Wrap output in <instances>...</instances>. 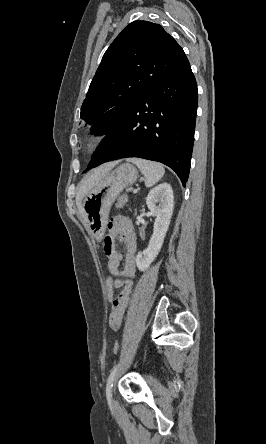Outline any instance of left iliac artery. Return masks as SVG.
I'll use <instances>...</instances> for the list:
<instances>
[{
    "mask_svg": "<svg viewBox=\"0 0 266 444\" xmlns=\"http://www.w3.org/2000/svg\"><path fill=\"white\" fill-rule=\"evenodd\" d=\"M118 367L119 365H116L111 374L109 375L108 379H107V384H106V396L107 399L110 401L111 397H112V387H113V381H114V377L118 371Z\"/></svg>",
    "mask_w": 266,
    "mask_h": 444,
    "instance_id": "1",
    "label": "left iliac artery"
}]
</instances>
